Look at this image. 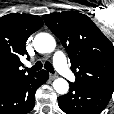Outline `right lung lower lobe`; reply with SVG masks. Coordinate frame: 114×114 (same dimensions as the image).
Masks as SVG:
<instances>
[{
	"instance_id": "right-lung-lower-lobe-1",
	"label": "right lung lower lobe",
	"mask_w": 114,
	"mask_h": 114,
	"mask_svg": "<svg viewBox=\"0 0 114 114\" xmlns=\"http://www.w3.org/2000/svg\"><path fill=\"white\" fill-rule=\"evenodd\" d=\"M49 79L41 70L0 89V114H26L35 105V91Z\"/></svg>"
}]
</instances>
